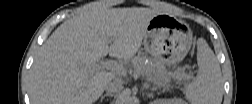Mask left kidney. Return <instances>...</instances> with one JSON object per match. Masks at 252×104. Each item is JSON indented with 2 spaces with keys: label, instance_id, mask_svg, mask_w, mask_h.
<instances>
[{
  "label": "left kidney",
  "instance_id": "left-kidney-1",
  "mask_svg": "<svg viewBox=\"0 0 252 104\" xmlns=\"http://www.w3.org/2000/svg\"><path fill=\"white\" fill-rule=\"evenodd\" d=\"M169 102H170V103H175V104L183 103L182 100H180V99H172V100H170Z\"/></svg>",
  "mask_w": 252,
  "mask_h": 104
}]
</instances>
